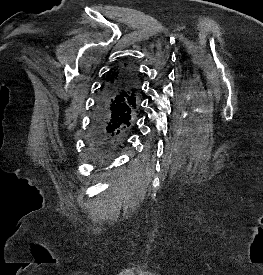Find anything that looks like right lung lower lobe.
Wrapping results in <instances>:
<instances>
[{"label":"right lung lower lobe","instance_id":"98d812e1","mask_svg":"<svg viewBox=\"0 0 263 275\" xmlns=\"http://www.w3.org/2000/svg\"><path fill=\"white\" fill-rule=\"evenodd\" d=\"M135 79L134 72L129 69L124 74ZM127 90L119 84L104 88L99 94L91 123V133L96 145L104 153L112 152L125 139L133 125L135 115L124 113V101Z\"/></svg>","mask_w":263,"mask_h":275}]
</instances>
